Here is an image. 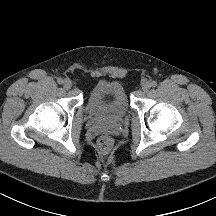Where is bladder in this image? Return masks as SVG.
Masks as SVG:
<instances>
[{"label": "bladder", "mask_w": 216, "mask_h": 216, "mask_svg": "<svg viewBox=\"0 0 216 216\" xmlns=\"http://www.w3.org/2000/svg\"><path fill=\"white\" fill-rule=\"evenodd\" d=\"M85 110L91 118L99 122H122L129 112L123 86L114 81H99L89 92Z\"/></svg>", "instance_id": "bladder-1"}]
</instances>
